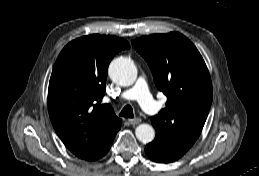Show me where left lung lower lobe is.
I'll use <instances>...</instances> for the list:
<instances>
[{
	"mask_svg": "<svg viewBox=\"0 0 259 176\" xmlns=\"http://www.w3.org/2000/svg\"><path fill=\"white\" fill-rule=\"evenodd\" d=\"M188 149H179L175 146L167 145L164 140L155 138L153 142L149 143L145 147L147 156L158 163H170L174 162L182 157Z\"/></svg>",
	"mask_w": 259,
	"mask_h": 176,
	"instance_id": "left-lung-lower-lobe-1",
	"label": "left lung lower lobe"
}]
</instances>
